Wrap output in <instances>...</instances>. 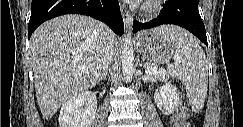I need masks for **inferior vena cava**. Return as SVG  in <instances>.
<instances>
[{
  "instance_id": "602c4592",
  "label": "inferior vena cava",
  "mask_w": 243,
  "mask_h": 127,
  "mask_svg": "<svg viewBox=\"0 0 243 127\" xmlns=\"http://www.w3.org/2000/svg\"><path fill=\"white\" fill-rule=\"evenodd\" d=\"M108 31L111 32L109 29ZM113 53L114 44L112 41L108 40L107 42H105V45L103 47L102 72H107L108 67L113 59Z\"/></svg>"
}]
</instances>
